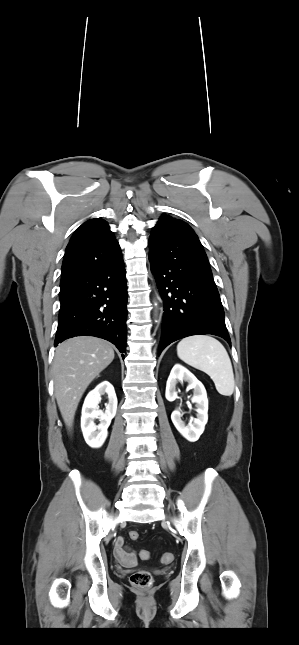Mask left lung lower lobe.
Listing matches in <instances>:
<instances>
[{"mask_svg":"<svg viewBox=\"0 0 299 645\" xmlns=\"http://www.w3.org/2000/svg\"><path fill=\"white\" fill-rule=\"evenodd\" d=\"M148 244L165 311L159 354L170 343L191 335L213 334L231 345L208 258L192 228L175 218L159 223Z\"/></svg>","mask_w":299,"mask_h":645,"instance_id":"left-lung-lower-lobe-1","label":"left lung lower lobe"}]
</instances>
